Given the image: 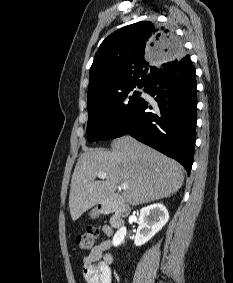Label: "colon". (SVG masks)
<instances>
[{"instance_id":"5ec220e1","label":"colon","mask_w":233,"mask_h":283,"mask_svg":"<svg viewBox=\"0 0 233 283\" xmlns=\"http://www.w3.org/2000/svg\"><path fill=\"white\" fill-rule=\"evenodd\" d=\"M99 235V229L96 226L87 227L81 234L75 239V245L81 250L91 249Z\"/></svg>"}]
</instances>
